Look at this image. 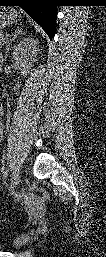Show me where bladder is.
<instances>
[{"mask_svg": "<svg viewBox=\"0 0 106 257\" xmlns=\"http://www.w3.org/2000/svg\"><path fill=\"white\" fill-rule=\"evenodd\" d=\"M29 236L26 234H21L16 236L13 240H12V248L15 250L20 249L21 247H23L24 245H26L29 241Z\"/></svg>", "mask_w": 106, "mask_h": 257, "instance_id": "1", "label": "bladder"}]
</instances>
